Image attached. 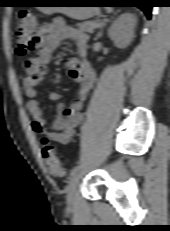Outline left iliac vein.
I'll return each instance as SVG.
<instances>
[{
	"instance_id": "4c4485c4",
	"label": "left iliac vein",
	"mask_w": 170,
	"mask_h": 231,
	"mask_svg": "<svg viewBox=\"0 0 170 231\" xmlns=\"http://www.w3.org/2000/svg\"><path fill=\"white\" fill-rule=\"evenodd\" d=\"M81 178V173L78 172L75 175H73L69 181V188H68V194H67V201L69 204H73L76 199V189L79 186Z\"/></svg>"
}]
</instances>
